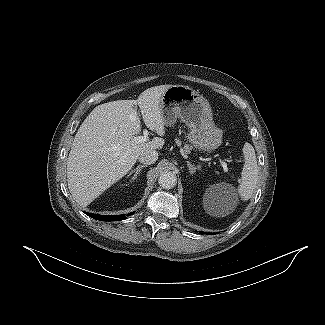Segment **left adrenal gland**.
<instances>
[{
    "instance_id": "obj_1",
    "label": "left adrenal gland",
    "mask_w": 325,
    "mask_h": 325,
    "mask_svg": "<svg viewBox=\"0 0 325 325\" xmlns=\"http://www.w3.org/2000/svg\"><path fill=\"white\" fill-rule=\"evenodd\" d=\"M187 166L189 167L190 174H193L196 172V170L200 169L198 166H195V165L191 164L190 162H187Z\"/></svg>"
}]
</instances>
